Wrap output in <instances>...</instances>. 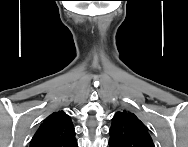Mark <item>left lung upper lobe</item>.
<instances>
[{"label":"left lung upper lobe","mask_w":188,"mask_h":147,"mask_svg":"<svg viewBox=\"0 0 188 147\" xmlns=\"http://www.w3.org/2000/svg\"><path fill=\"white\" fill-rule=\"evenodd\" d=\"M109 134L110 147H154L146 126L128 110L115 114Z\"/></svg>","instance_id":"5c2ea615"}]
</instances>
